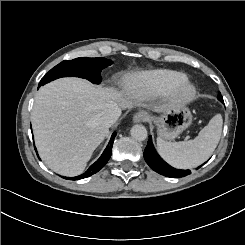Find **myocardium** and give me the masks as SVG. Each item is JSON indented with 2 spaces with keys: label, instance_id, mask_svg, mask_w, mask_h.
Instances as JSON below:
<instances>
[{
  "label": "myocardium",
  "instance_id": "myocardium-1",
  "mask_svg": "<svg viewBox=\"0 0 245 245\" xmlns=\"http://www.w3.org/2000/svg\"><path fill=\"white\" fill-rule=\"evenodd\" d=\"M195 87L188 81L177 84L166 90V95L175 101L185 103L192 100L195 96Z\"/></svg>",
  "mask_w": 245,
  "mask_h": 245
}]
</instances>
